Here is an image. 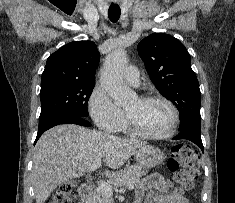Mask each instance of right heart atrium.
Here are the masks:
<instances>
[{"mask_svg":"<svg viewBox=\"0 0 235 203\" xmlns=\"http://www.w3.org/2000/svg\"><path fill=\"white\" fill-rule=\"evenodd\" d=\"M88 110L95 124L103 131L114 133L120 130L124 124V112L99 86L95 87L90 95Z\"/></svg>","mask_w":235,"mask_h":203,"instance_id":"right-heart-atrium-1","label":"right heart atrium"}]
</instances>
